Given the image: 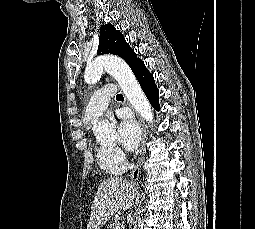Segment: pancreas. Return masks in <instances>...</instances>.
Masks as SVG:
<instances>
[{
  "label": "pancreas",
  "mask_w": 255,
  "mask_h": 229,
  "mask_svg": "<svg viewBox=\"0 0 255 229\" xmlns=\"http://www.w3.org/2000/svg\"><path fill=\"white\" fill-rule=\"evenodd\" d=\"M118 222H113L108 225L107 229H114Z\"/></svg>",
  "instance_id": "cf45deb5"
}]
</instances>
